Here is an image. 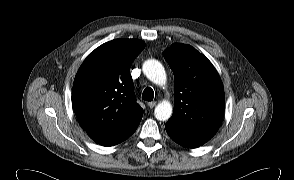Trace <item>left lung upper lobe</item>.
I'll return each mask as SVG.
<instances>
[{"instance_id":"1","label":"left lung upper lobe","mask_w":294,"mask_h":180,"mask_svg":"<svg viewBox=\"0 0 294 180\" xmlns=\"http://www.w3.org/2000/svg\"><path fill=\"white\" fill-rule=\"evenodd\" d=\"M174 73V111L169 122L191 131L218 130L224 114L222 81L212 63L190 45L164 51Z\"/></svg>"}]
</instances>
